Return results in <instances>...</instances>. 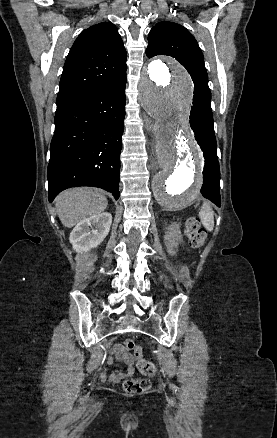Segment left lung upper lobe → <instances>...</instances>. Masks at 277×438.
<instances>
[{
	"instance_id": "1",
	"label": "left lung upper lobe",
	"mask_w": 277,
	"mask_h": 438,
	"mask_svg": "<svg viewBox=\"0 0 277 438\" xmlns=\"http://www.w3.org/2000/svg\"><path fill=\"white\" fill-rule=\"evenodd\" d=\"M146 55H168L179 61L194 82L193 106L211 110V93L204 58L193 35L182 25L174 22L157 23L149 32Z\"/></svg>"
}]
</instances>
